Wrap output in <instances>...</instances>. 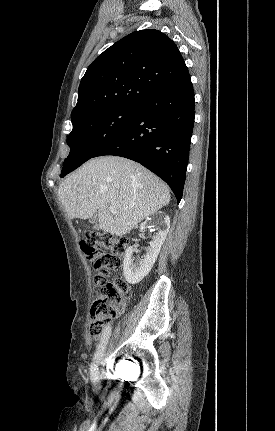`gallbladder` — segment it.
<instances>
[{
  "mask_svg": "<svg viewBox=\"0 0 275 431\" xmlns=\"http://www.w3.org/2000/svg\"><path fill=\"white\" fill-rule=\"evenodd\" d=\"M96 221H97V216H96V215H95V216H93V217H91V218L89 219V223H91V224L96 223Z\"/></svg>",
  "mask_w": 275,
  "mask_h": 431,
  "instance_id": "bac80fb5",
  "label": "gallbladder"
}]
</instances>
